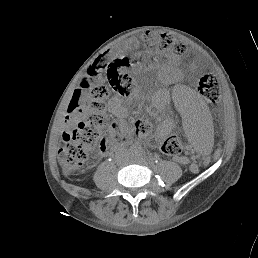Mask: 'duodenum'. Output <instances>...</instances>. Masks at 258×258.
<instances>
[{
  "label": "duodenum",
  "instance_id": "1",
  "mask_svg": "<svg viewBox=\"0 0 258 258\" xmlns=\"http://www.w3.org/2000/svg\"><path fill=\"white\" fill-rule=\"evenodd\" d=\"M116 150V153L119 152L120 150H122L124 148V146H121L120 144H117L116 146H114Z\"/></svg>",
  "mask_w": 258,
  "mask_h": 258
}]
</instances>
